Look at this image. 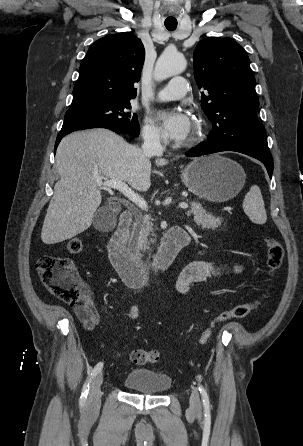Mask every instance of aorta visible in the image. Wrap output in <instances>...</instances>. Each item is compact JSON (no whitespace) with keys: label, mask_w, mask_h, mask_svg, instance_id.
<instances>
[{"label":"aorta","mask_w":303,"mask_h":446,"mask_svg":"<svg viewBox=\"0 0 303 446\" xmlns=\"http://www.w3.org/2000/svg\"><path fill=\"white\" fill-rule=\"evenodd\" d=\"M186 68V60L177 52L164 51L156 62L154 78L162 81L182 73Z\"/></svg>","instance_id":"1"}]
</instances>
